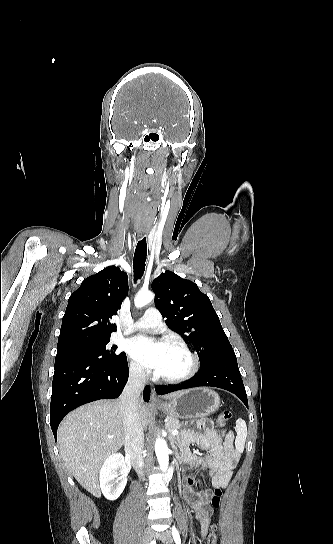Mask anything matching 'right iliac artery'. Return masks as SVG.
<instances>
[{"mask_svg": "<svg viewBox=\"0 0 333 544\" xmlns=\"http://www.w3.org/2000/svg\"><path fill=\"white\" fill-rule=\"evenodd\" d=\"M150 544H156V543H155V540H153Z\"/></svg>", "mask_w": 333, "mask_h": 544, "instance_id": "right-iliac-artery-1", "label": "right iliac artery"}]
</instances>
